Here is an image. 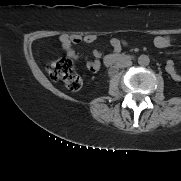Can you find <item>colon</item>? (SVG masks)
<instances>
[{"label": "colon", "instance_id": "5ec220e1", "mask_svg": "<svg viewBox=\"0 0 181 181\" xmlns=\"http://www.w3.org/2000/svg\"><path fill=\"white\" fill-rule=\"evenodd\" d=\"M47 72L52 80L62 82L71 91H78L82 86V79L69 59L51 61Z\"/></svg>", "mask_w": 181, "mask_h": 181}]
</instances>
